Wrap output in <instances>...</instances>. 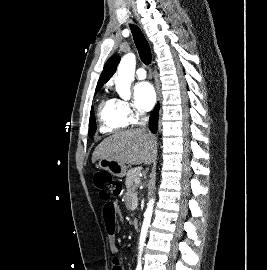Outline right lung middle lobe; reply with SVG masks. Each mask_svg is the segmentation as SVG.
I'll list each match as a JSON object with an SVG mask.
<instances>
[{"label": "right lung middle lobe", "mask_w": 267, "mask_h": 270, "mask_svg": "<svg viewBox=\"0 0 267 270\" xmlns=\"http://www.w3.org/2000/svg\"><path fill=\"white\" fill-rule=\"evenodd\" d=\"M99 90H96V93L98 92ZM96 132V122H95V115H94V112H93V108L91 109V113H90V120H89V132H88V135L89 136H93Z\"/></svg>", "instance_id": "right-lung-middle-lobe-1"}]
</instances>
